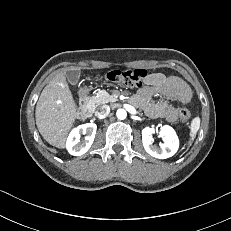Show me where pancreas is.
Here are the masks:
<instances>
[{
  "mask_svg": "<svg viewBox=\"0 0 231 231\" xmlns=\"http://www.w3.org/2000/svg\"><path fill=\"white\" fill-rule=\"evenodd\" d=\"M116 99L113 95H110L104 90L99 91L95 96L91 98V101L94 102L96 105L114 102Z\"/></svg>",
  "mask_w": 231,
  "mask_h": 231,
  "instance_id": "obj_1",
  "label": "pancreas"
}]
</instances>
